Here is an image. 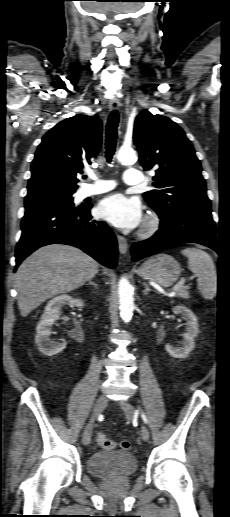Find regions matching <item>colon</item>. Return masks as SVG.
I'll return each mask as SVG.
<instances>
[{"mask_svg":"<svg viewBox=\"0 0 230 517\" xmlns=\"http://www.w3.org/2000/svg\"><path fill=\"white\" fill-rule=\"evenodd\" d=\"M97 442H98L99 446L102 447L103 449L110 450V449H113L115 447V443L112 440H110L103 433L98 434ZM119 447H120L121 450L127 451V450L130 449V442L129 441H121L119 443Z\"/></svg>","mask_w":230,"mask_h":517,"instance_id":"colon-1","label":"colon"}]
</instances>
